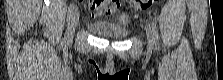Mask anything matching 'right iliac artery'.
<instances>
[{"label":"right iliac artery","instance_id":"obj_1","mask_svg":"<svg viewBox=\"0 0 223 80\" xmlns=\"http://www.w3.org/2000/svg\"><path fill=\"white\" fill-rule=\"evenodd\" d=\"M76 10V7L74 4H71L69 9H68V21L71 19L74 11ZM69 30V29H68ZM67 36H68V33H66V36L64 38V42L66 43L67 42Z\"/></svg>","mask_w":223,"mask_h":80}]
</instances>
